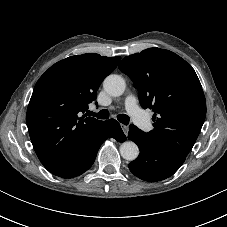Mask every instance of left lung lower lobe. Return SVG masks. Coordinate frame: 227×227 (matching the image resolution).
I'll return each mask as SVG.
<instances>
[{"mask_svg":"<svg viewBox=\"0 0 227 227\" xmlns=\"http://www.w3.org/2000/svg\"><path fill=\"white\" fill-rule=\"evenodd\" d=\"M128 138L140 149L139 157L128 167L140 179L149 182L164 180L173 175L184 163L185 157L164 150L134 125L129 126Z\"/></svg>","mask_w":227,"mask_h":227,"instance_id":"obj_1","label":"left lung lower lobe"}]
</instances>
